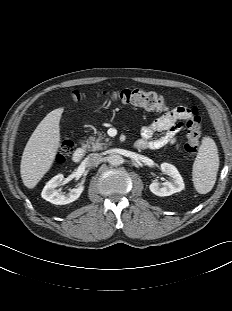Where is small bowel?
<instances>
[{
	"instance_id": "small-bowel-1",
	"label": "small bowel",
	"mask_w": 232,
	"mask_h": 311,
	"mask_svg": "<svg viewBox=\"0 0 232 311\" xmlns=\"http://www.w3.org/2000/svg\"><path fill=\"white\" fill-rule=\"evenodd\" d=\"M189 108L178 106L173 109L164 108L163 114L150 124L144 126L141 131L142 138L137 141L138 148L142 150H157L166 145L173 144L177 134L186 121ZM156 133L162 136L154 138Z\"/></svg>"
}]
</instances>
